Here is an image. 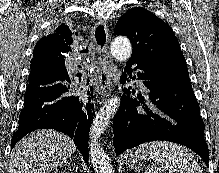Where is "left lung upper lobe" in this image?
Instances as JSON below:
<instances>
[{"instance_id": "obj_1", "label": "left lung upper lobe", "mask_w": 219, "mask_h": 173, "mask_svg": "<svg viewBox=\"0 0 219 173\" xmlns=\"http://www.w3.org/2000/svg\"><path fill=\"white\" fill-rule=\"evenodd\" d=\"M114 33L130 38L131 59L165 67L173 78L189 76L179 42L164 21L142 7H134L119 18Z\"/></svg>"}]
</instances>
